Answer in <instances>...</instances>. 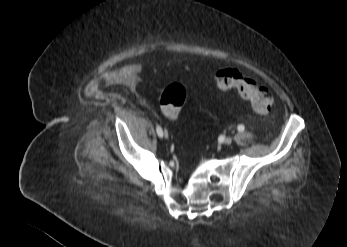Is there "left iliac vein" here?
<instances>
[{"label": "left iliac vein", "instance_id": "4c4485c4", "mask_svg": "<svg viewBox=\"0 0 347 247\" xmlns=\"http://www.w3.org/2000/svg\"><path fill=\"white\" fill-rule=\"evenodd\" d=\"M232 138L231 137H227V138H225V140H224V144H226V145H230L231 143H232Z\"/></svg>", "mask_w": 347, "mask_h": 247}]
</instances>
